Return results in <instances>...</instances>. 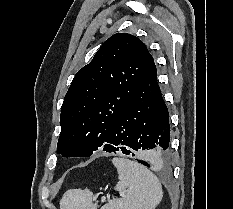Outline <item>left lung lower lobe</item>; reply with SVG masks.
<instances>
[{"label": "left lung lower lobe", "instance_id": "left-lung-lower-lobe-1", "mask_svg": "<svg viewBox=\"0 0 233 209\" xmlns=\"http://www.w3.org/2000/svg\"><path fill=\"white\" fill-rule=\"evenodd\" d=\"M170 141L169 113L157 83L155 63L135 88L122 113L112 124L102 148L105 152H145L137 161L147 167L167 163Z\"/></svg>", "mask_w": 233, "mask_h": 209}]
</instances>
